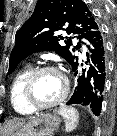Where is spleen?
<instances>
[{
  "instance_id": "1",
  "label": "spleen",
  "mask_w": 117,
  "mask_h": 136,
  "mask_svg": "<svg viewBox=\"0 0 117 136\" xmlns=\"http://www.w3.org/2000/svg\"><path fill=\"white\" fill-rule=\"evenodd\" d=\"M57 112L64 118L66 132H70L76 128L79 122V113L75 108L63 106Z\"/></svg>"
}]
</instances>
